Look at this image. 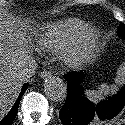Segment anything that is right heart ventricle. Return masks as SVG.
Wrapping results in <instances>:
<instances>
[{"label": "right heart ventricle", "mask_w": 125, "mask_h": 125, "mask_svg": "<svg viewBox=\"0 0 125 125\" xmlns=\"http://www.w3.org/2000/svg\"><path fill=\"white\" fill-rule=\"evenodd\" d=\"M89 28L88 24L76 18L56 22L45 27L37 39L38 46L45 51H62L76 36Z\"/></svg>", "instance_id": "obj_1"}]
</instances>
